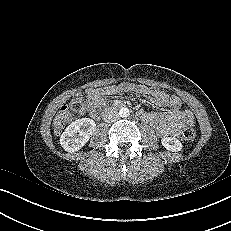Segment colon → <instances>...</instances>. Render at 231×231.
<instances>
[{
	"label": "colon",
	"mask_w": 231,
	"mask_h": 231,
	"mask_svg": "<svg viewBox=\"0 0 231 231\" xmlns=\"http://www.w3.org/2000/svg\"><path fill=\"white\" fill-rule=\"evenodd\" d=\"M169 103L174 108H180L182 100L176 96L169 97ZM85 110V100L82 95H75L68 105L63 106L54 119V130L56 133H60L66 123L71 119L73 114H80ZM196 136V132L193 127L187 126L182 131V137L186 141H192Z\"/></svg>",
	"instance_id": "colon-1"
}]
</instances>
